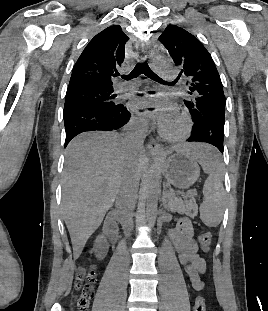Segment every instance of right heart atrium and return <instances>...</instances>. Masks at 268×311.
Listing matches in <instances>:
<instances>
[{"label":"right heart atrium","instance_id":"d8ad5b80","mask_svg":"<svg viewBox=\"0 0 268 311\" xmlns=\"http://www.w3.org/2000/svg\"><path fill=\"white\" fill-rule=\"evenodd\" d=\"M133 125L135 128L140 129V130L143 129L145 126L144 123L141 121H135Z\"/></svg>","mask_w":268,"mask_h":311}]
</instances>
